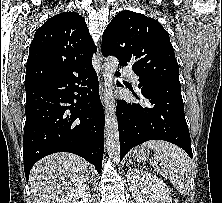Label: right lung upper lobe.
Returning a JSON list of instances; mask_svg holds the SVG:
<instances>
[{"instance_id":"cb5924a9","label":"right lung upper lobe","mask_w":222,"mask_h":203,"mask_svg":"<svg viewBox=\"0 0 222 203\" xmlns=\"http://www.w3.org/2000/svg\"><path fill=\"white\" fill-rule=\"evenodd\" d=\"M94 52L92 37L78 13L53 16L36 31L30 44L25 88L89 70Z\"/></svg>"}]
</instances>
